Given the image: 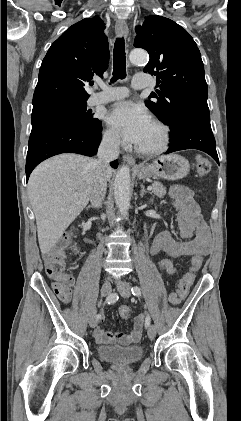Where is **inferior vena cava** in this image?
Returning <instances> with one entry per match:
<instances>
[{
	"instance_id": "inferior-vena-cava-1",
	"label": "inferior vena cava",
	"mask_w": 241,
	"mask_h": 421,
	"mask_svg": "<svg viewBox=\"0 0 241 421\" xmlns=\"http://www.w3.org/2000/svg\"><path fill=\"white\" fill-rule=\"evenodd\" d=\"M120 138L116 135L104 136L93 162L94 173L90 188V201L93 207H100L107 190L106 173L110 169L109 162L119 156Z\"/></svg>"
}]
</instances>
